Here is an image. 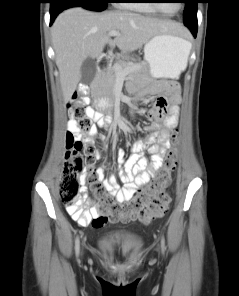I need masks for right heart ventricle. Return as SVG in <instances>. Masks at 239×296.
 Masks as SVG:
<instances>
[{"label": "right heart ventricle", "instance_id": "right-heart-ventricle-1", "mask_svg": "<svg viewBox=\"0 0 239 296\" xmlns=\"http://www.w3.org/2000/svg\"><path fill=\"white\" fill-rule=\"evenodd\" d=\"M119 7L138 10L144 13L156 14L157 11L154 9L148 0H123L118 4Z\"/></svg>", "mask_w": 239, "mask_h": 296}]
</instances>
